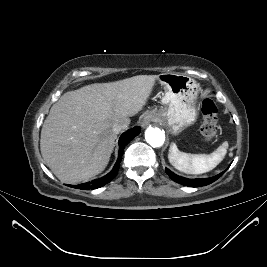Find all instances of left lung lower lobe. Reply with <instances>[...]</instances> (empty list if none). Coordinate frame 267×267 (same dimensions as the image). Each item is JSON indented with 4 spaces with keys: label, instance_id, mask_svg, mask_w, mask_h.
<instances>
[{
    "label": "left lung lower lobe",
    "instance_id": "1",
    "mask_svg": "<svg viewBox=\"0 0 267 267\" xmlns=\"http://www.w3.org/2000/svg\"><path fill=\"white\" fill-rule=\"evenodd\" d=\"M165 172L169 175V177L173 181H175L177 183H180V184L185 185V186L199 187V186L208 185V184L216 181L219 177H221L223 175V173L225 171L214 176V177L206 178V179H187V178L180 177V176L174 174L173 172H171L167 168H165Z\"/></svg>",
    "mask_w": 267,
    "mask_h": 267
}]
</instances>
